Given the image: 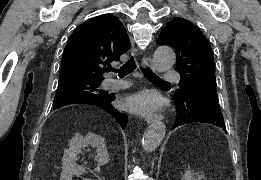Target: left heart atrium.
<instances>
[{"mask_svg":"<svg viewBox=\"0 0 261 180\" xmlns=\"http://www.w3.org/2000/svg\"><path fill=\"white\" fill-rule=\"evenodd\" d=\"M125 106L135 113L148 114L162 107V98L153 91H143L128 96L125 99Z\"/></svg>","mask_w":261,"mask_h":180,"instance_id":"left-heart-atrium-1","label":"left heart atrium"}]
</instances>
